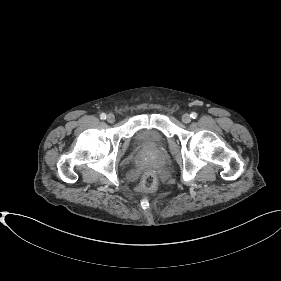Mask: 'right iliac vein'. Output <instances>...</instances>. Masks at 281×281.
I'll list each match as a JSON object with an SVG mask.
<instances>
[{"instance_id":"obj_1","label":"right iliac vein","mask_w":281,"mask_h":281,"mask_svg":"<svg viewBox=\"0 0 281 281\" xmlns=\"http://www.w3.org/2000/svg\"><path fill=\"white\" fill-rule=\"evenodd\" d=\"M107 121H108L109 123H113V122L115 121V116H114V114H112V113L108 114V116H107Z\"/></svg>"}]
</instances>
